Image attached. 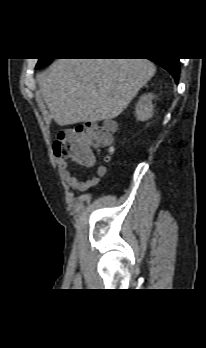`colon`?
I'll return each mask as SVG.
<instances>
[{
    "label": "colon",
    "instance_id": "1",
    "mask_svg": "<svg viewBox=\"0 0 206 348\" xmlns=\"http://www.w3.org/2000/svg\"><path fill=\"white\" fill-rule=\"evenodd\" d=\"M112 129L111 123L102 122L80 124L60 132L53 144L54 154L58 158L89 165L95 161L93 149L107 146L104 160L109 161L114 151Z\"/></svg>",
    "mask_w": 206,
    "mask_h": 348
}]
</instances>
